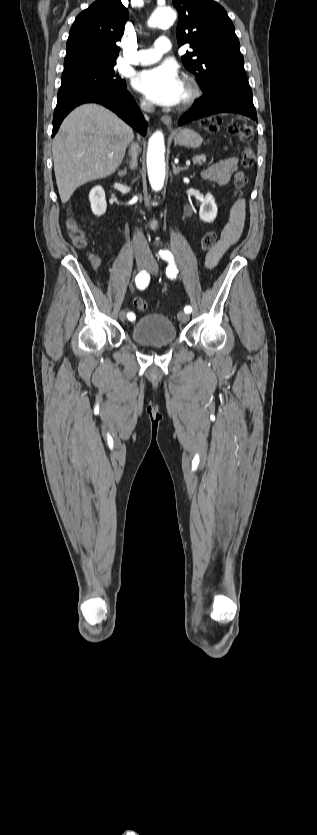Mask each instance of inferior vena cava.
<instances>
[{"instance_id": "1", "label": "inferior vena cava", "mask_w": 317, "mask_h": 835, "mask_svg": "<svg viewBox=\"0 0 317 835\" xmlns=\"http://www.w3.org/2000/svg\"><path fill=\"white\" fill-rule=\"evenodd\" d=\"M143 112H153L154 106L150 102H143L140 106ZM146 120H148L147 115H145ZM139 151V145L137 143L131 144L130 154L132 155V162L131 168H135L137 166V155ZM134 247H135V256L136 258H149L151 256V251L149 249L148 243L143 235V233L137 230L134 236Z\"/></svg>"}]
</instances>
